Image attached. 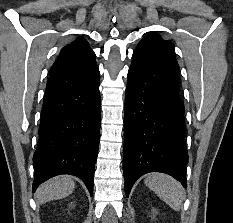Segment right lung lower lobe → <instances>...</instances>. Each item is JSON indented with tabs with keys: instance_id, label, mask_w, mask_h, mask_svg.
<instances>
[{
	"instance_id": "right-lung-lower-lobe-1",
	"label": "right lung lower lobe",
	"mask_w": 233,
	"mask_h": 223,
	"mask_svg": "<svg viewBox=\"0 0 233 223\" xmlns=\"http://www.w3.org/2000/svg\"><path fill=\"white\" fill-rule=\"evenodd\" d=\"M100 125L96 62L50 75L42 107L38 147L33 156V192L51 177L71 174L81 178L92 195Z\"/></svg>"
}]
</instances>
